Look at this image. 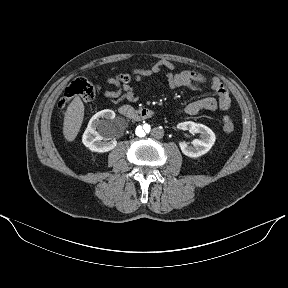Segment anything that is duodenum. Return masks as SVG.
<instances>
[{"label":"duodenum","mask_w":288,"mask_h":288,"mask_svg":"<svg viewBox=\"0 0 288 288\" xmlns=\"http://www.w3.org/2000/svg\"><path fill=\"white\" fill-rule=\"evenodd\" d=\"M120 114L130 120L142 121L152 118L155 115V112L150 108L136 109L132 106L124 105L120 108Z\"/></svg>","instance_id":"obj_1"}]
</instances>
